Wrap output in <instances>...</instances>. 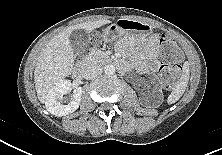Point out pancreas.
<instances>
[{"label":"pancreas","instance_id":"1","mask_svg":"<svg viewBox=\"0 0 222 155\" xmlns=\"http://www.w3.org/2000/svg\"><path fill=\"white\" fill-rule=\"evenodd\" d=\"M94 60L97 63H105L110 61V57L102 50L95 49L94 50Z\"/></svg>","mask_w":222,"mask_h":155}]
</instances>
